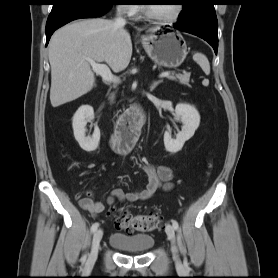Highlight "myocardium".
Returning <instances> with one entry per match:
<instances>
[{
	"mask_svg": "<svg viewBox=\"0 0 278 278\" xmlns=\"http://www.w3.org/2000/svg\"><path fill=\"white\" fill-rule=\"evenodd\" d=\"M183 5L181 3L176 4V11L175 13L171 16V17H159L157 15H155L154 13H152V11L150 10V7L148 5L144 6V12L145 15L148 19L155 21L157 23H161V24H171L176 22L182 15L183 13Z\"/></svg>",
	"mask_w": 278,
	"mask_h": 278,
	"instance_id": "obj_1",
	"label": "myocardium"
}]
</instances>
